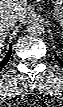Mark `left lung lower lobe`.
Wrapping results in <instances>:
<instances>
[{"label":"left lung lower lobe","mask_w":63,"mask_h":107,"mask_svg":"<svg viewBox=\"0 0 63 107\" xmlns=\"http://www.w3.org/2000/svg\"><path fill=\"white\" fill-rule=\"evenodd\" d=\"M55 57H56V59L59 61V63H60L61 65H63V61H62L61 59H59V57H58L57 55H55Z\"/></svg>","instance_id":"1"}]
</instances>
